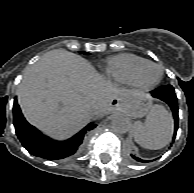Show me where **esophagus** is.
<instances>
[{
  "label": "esophagus",
  "instance_id": "1",
  "mask_svg": "<svg viewBox=\"0 0 194 193\" xmlns=\"http://www.w3.org/2000/svg\"><path fill=\"white\" fill-rule=\"evenodd\" d=\"M118 101V99L117 98H114L113 100H112V103H115V102H117Z\"/></svg>",
  "mask_w": 194,
  "mask_h": 193
}]
</instances>
